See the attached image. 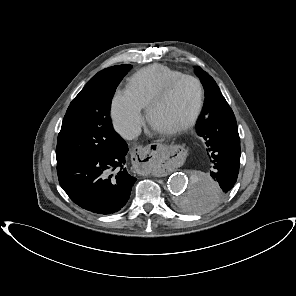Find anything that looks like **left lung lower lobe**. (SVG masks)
<instances>
[{"instance_id":"obj_1","label":"left lung lower lobe","mask_w":296,"mask_h":296,"mask_svg":"<svg viewBox=\"0 0 296 296\" xmlns=\"http://www.w3.org/2000/svg\"><path fill=\"white\" fill-rule=\"evenodd\" d=\"M205 141L212 171L219 187L203 185L201 190L193 187L188 201L183 205L189 209L202 210L222 200L236 183L240 163V137L234 113L226 100L216 105L197 127Z\"/></svg>"}]
</instances>
